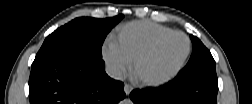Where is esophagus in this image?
Returning <instances> with one entry per match:
<instances>
[{
    "mask_svg": "<svg viewBox=\"0 0 252 104\" xmlns=\"http://www.w3.org/2000/svg\"><path fill=\"white\" fill-rule=\"evenodd\" d=\"M132 89H133L132 85L125 84L124 90H125L126 94H129L132 91Z\"/></svg>",
    "mask_w": 252,
    "mask_h": 104,
    "instance_id": "esophagus-1",
    "label": "esophagus"
}]
</instances>
